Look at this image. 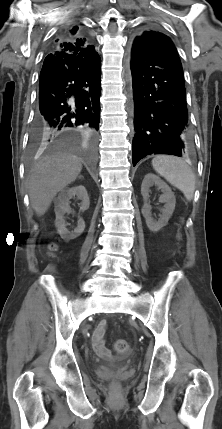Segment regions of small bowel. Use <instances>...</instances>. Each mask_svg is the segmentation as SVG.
Listing matches in <instances>:
<instances>
[{
    "mask_svg": "<svg viewBox=\"0 0 222 429\" xmlns=\"http://www.w3.org/2000/svg\"><path fill=\"white\" fill-rule=\"evenodd\" d=\"M106 331V322L101 321L92 336V346L94 351L103 358H110L111 352L105 345L104 335Z\"/></svg>",
    "mask_w": 222,
    "mask_h": 429,
    "instance_id": "small-bowel-1",
    "label": "small bowel"
}]
</instances>
